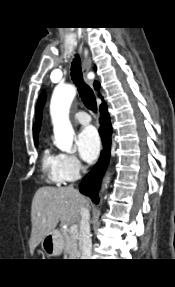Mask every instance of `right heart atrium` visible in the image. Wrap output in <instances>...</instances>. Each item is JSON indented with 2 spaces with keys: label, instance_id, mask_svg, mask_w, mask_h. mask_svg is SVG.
<instances>
[{
  "label": "right heart atrium",
  "instance_id": "1",
  "mask_svg": "<svg viewBox=\"0 0 175 287\" xmlns=\"http://www.w3.org/2000/svg\"><path fill=\"white\" fill-rule=\"evenodd\" d=\"M60 158V172L63 182L72 181L80 175L82 164L80 160L73 154L61 153Z\"/></svg>",
  "mask_w": 175,
  "mask_h": 287
}]
</instances>
